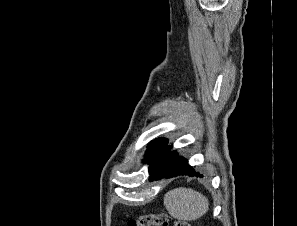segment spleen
<instances>
[{"label": "spleen", "mask_w": 297, "mask_h": 226, "mask_svg": "<svg viewBox=\"0 0 297 226\" xmlns=\"http://www.w3.org/2000/svg\"><path fill=\"white\" fill-rule=\"evenodd\" d=\"M164 205L172 217L184 221H193L208 211L209 201L198 191L178 187L164 195Z\"/></svg>", "instance_id": "obj_1"}]
</instances>
